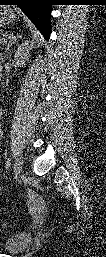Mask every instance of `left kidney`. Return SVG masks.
Segmentation results:
<instances>
[{"label": "left kidney", "mask_w": 106, "mask_h": 257, "mask_svg": "<svg viewBox=\"0 0 106 257\" xmlns=\"http://www.w3.org/2000/svg\"><path fill=\"white\" fill-rule=\"evenodd\" d=\"M15 60L17 61V65L20 67L25 65V62L28 61V43L25 42L20 45L15 53Z\"/></svg>", "instance_id": "left-kidney-1"}]
</instances>
